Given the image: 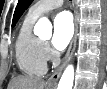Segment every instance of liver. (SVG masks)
Masks as SVG:
<instances>
[{
	"label": "liver",
	"instance_id": "obj_1",
	"mask_svg": "<svg viewBox=\"0 0 107 89\" xmlns=\"http://www.w3.org/2000/svg\"><path fill=\"white\" fill-rule=\"evenodd\" d=\"M44 87V80L31 76L15 77L8 85V89H44Z\"/></svg>",
	"mask_w": 107,
	"mask_h": 89
}]
</instances>
